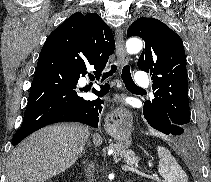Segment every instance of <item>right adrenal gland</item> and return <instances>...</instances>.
I'll list each match as a JSON object with an SVG mask.
<instances>
[{"label":"right adrenal gland","instance_id":"right-adrenal-gland-1","mask_svg":"<svg viewBox=\"0 0 211 182\" xmlns=\"http://www.w3.org/2000/svg\"><path fill=\"white\" fill-rule=\"evenodd\" d=\"M90 145V143L88 142V146ZM83 163H86V161H83Z\"/></svg>","mask_w":211,"mask_h":182}]
</instances>
